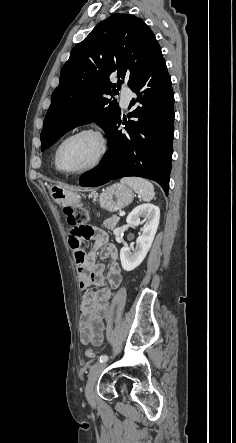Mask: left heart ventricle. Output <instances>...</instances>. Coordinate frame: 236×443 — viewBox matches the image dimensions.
I'll use <instances>...</instances> for the list:
<instances>
[{
	"label": "left heart ventricle",
	"instance_id": "b2bd125f",
	"mask_svg": "<svg viewBox=\"0 0 236 443\" xmlns=\"http://www.w3.org/2000/svg\"><path fill=\"white\" fill-rule=\"evenodd\" d=\"M99 152L97 139L84 134L69 140L60 153L61 167L68 171L80 170L91 165Z\"/></svg>",
	"mask_w": 236,
	"mask_h": 443
}]
</instances>
